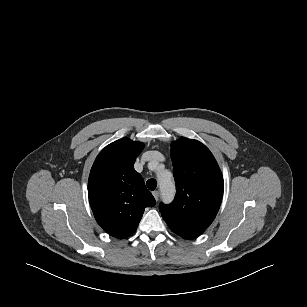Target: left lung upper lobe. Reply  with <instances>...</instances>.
I'll return each instance as SVG.
<instances>
[{"label":"left lung upper lobe","mask_w":307,"mask_h":307,"mask_svg":"<svg viewBox=\"0 0 307 307\" xmlns=\"http://www.w3.org/2000/svg\"><path fill=\"white\" fill-rule=\"evenodd\" d=\"M176 196L159 210L169 228L185 239L201 235L212 223L223 196V177L209 149L201 142L180 138L171 144Z\"/></svg>","instance_id":"left-lung-upper-lobe-1"}]
</instances>
